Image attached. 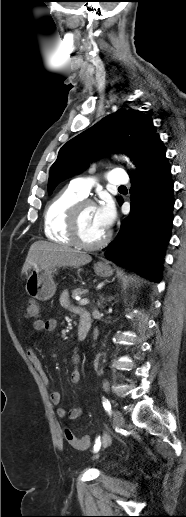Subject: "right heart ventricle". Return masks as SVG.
Instances as JSON below:
<instances>
[{"instance_id":"obj_1","label":"right heart ventricle","mask_w":186,"mask_h":517,"mask_svg":"<svg viewBox=\"0 0 186 517\" xmlns=\"http://www.w3.org/2000/svg\"><path fill=\"white\" fill-rule=\"evenodd\" d=\"M84 197L70 185L61 189L49 202L44 212L45 236L54 242L72 245L68 219L73 205Z\"/></svg>"}]
</instances>
